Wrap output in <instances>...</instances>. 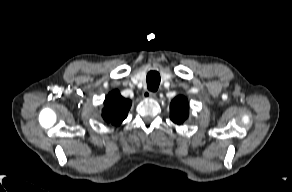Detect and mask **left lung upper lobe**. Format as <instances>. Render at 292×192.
<instances>
[{
    "label": "left lung upper lobe",
    "mask_w": 292,
    "mask_h": 192,
    "mask_svg": "<svg viewBox=\"0 0 292 192\" xmlns=\"http://www.w3.org/2000/svg\"><path fill=\"white\" fill-rule=\"evenodd\" d=\"M189 115L188 100L184 96H177L170 104V118L176 124H182Z\"/></svg>",
    "instance_id": "5c2ea615"
}]
</instances>
